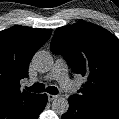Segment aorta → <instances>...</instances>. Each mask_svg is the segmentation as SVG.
<instances>
[{
  "label": "aorta",
  "mask_w": 119,
  "mask_h": 119,
  "mask_svg": "<svg viewBox=\"0 0 119 119\" xmlns=\"http://www.w3.org/2000/svg\"><path fill=\"white\" fill-rule=\"evenodd\" d=\"M32 63L36 70L41 73L48 72L53 66V57L47 51H38L35 53ZM69 109L68 100L64 97H57L52 102V110L58 114H65Z\"/></svg>",
  "instance_id": "obj_1"
}]
</instances>
